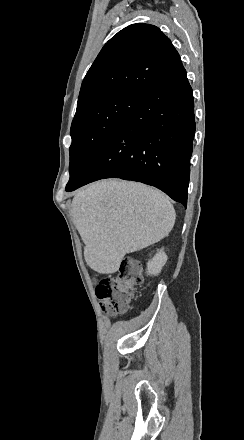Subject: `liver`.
<instances>
[{"label": "liver", "mask_w": 244, "mask_h": 440, "mask_svg": "<svg viewBox=\"0 0 244 440\" xmlns=\"http://www.w3.org/2000/svg\"><path fill=\"white\" fill-rule=\"evenodd\" d=\"M71 210L85 244V262L98 274L118 272L125 254L166 238L176 218L163 192L113 178L81 188Z\"/></svg>", "instance_id": "liver-1"}]
</instances>
